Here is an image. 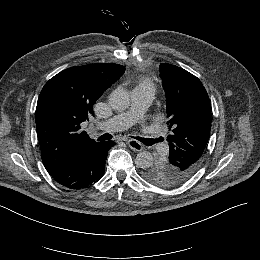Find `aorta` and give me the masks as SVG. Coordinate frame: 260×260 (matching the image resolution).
<instances>
[{"label": "aorta", "instance_id": "762f6f07", "mask_svg": "<svg viewBox=\"0 0 260 260\" xmlns=\"http://www.w3.org/2000/svg\"><path fill=\"white\" fill-rule=\"evenodd\" d=\"M112 107L118 111H124L130 106V94L123 88L115 89L109 98ZM135 163L142 169L153 165V156L149 151H140L135 159Z\"/></svg>", "mask_w": 260, "mask_h": 260}]
</instances>
